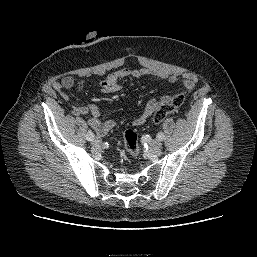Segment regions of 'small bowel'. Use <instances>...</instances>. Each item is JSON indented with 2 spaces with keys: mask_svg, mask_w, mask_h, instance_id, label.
<instances>
[{
  "mask_svg": "<svg viewBox=\"0 0 257 257\" xmlns=\"http://www.w3.org/2000/svg\"><path fill=\"white\" fill-rule=\"evenodd\" d=\"M145 75H154L161 80H167L170 83H175L181 81L184 90L181 94L186 95L190 93L196 86V77L191 73H185L181 76L170 74L164 70H157L151 68H122L116 70L109 74L104 80L100 82L101 90L104 93H114L121 89V80L126 77H131L133 79H139ZM74 79L71 76H66L62 78L59 82L53 84L54 89L59 92L63 90H69L73 87ZM169 95H162L160 97H153L148 100L142 114L134 120V125H142L145 121L164 103L170 100ZM74 114L76 116L82 117L90 115L89 125L97 132L99 135H104L112 130L115 126V121L101 120L100 109L95 104L90 105H79L74 109Z\"/></svg>",
  "mask_w": 257,
  "mask_h": 257,
  "instance_id": "1",
  "label": "small bowel"
}]
</instances>
